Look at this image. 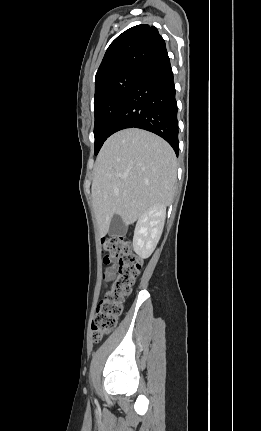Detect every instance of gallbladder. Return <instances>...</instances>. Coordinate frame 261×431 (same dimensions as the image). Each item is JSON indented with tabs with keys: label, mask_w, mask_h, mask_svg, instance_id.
Masks as SVG:
<instances>
[{
	"label": "gallbladder",
	"mask_w": 261,
	"mask_h": 431,
	"mask_svg": "<svg viewBox=\"0 0 261 431\" xmlns=\"http://www.w3.org/2000/svg\"><path fill=\"white\" fill-rule=\"evenodd\" d=\"M127 231V226L122 221L119 215H114L110 222L108 234L111 237H118L124 235Z\"/></svg>",
	"instance_id": "bac80fb5"
}]
</instances>
